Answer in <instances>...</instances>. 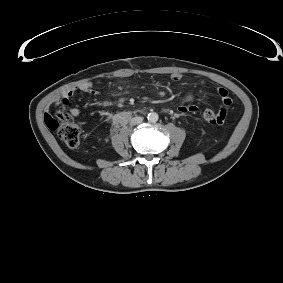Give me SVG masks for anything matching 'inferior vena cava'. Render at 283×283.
Masks as SVG:
<instances>
[{
    "instance_id": "602c4592",
    "label": "inferior vena cava",
    "mask_w": 283,
    "mask_h": 283,
    "mask_svg": "<svg viewBox=\"0 0 283 283\" xmlns=\"http://www.w3.org/2000/svg\"><path fill=\"white\" fill-rule=\"evenodd\" d=\"M143 121L142 117H134L131 119L130 124L131 125H137Z\"/></svg>"
}]
</instances>
